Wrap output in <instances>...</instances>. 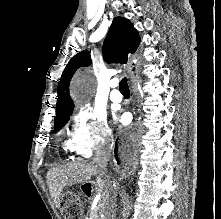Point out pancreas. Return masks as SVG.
<instances>
[{
  "mask_svg": "<svg viewBox=\"0 0 221 219\" xmlns=\"http://www.w3.org/2000/svg\"><path fill=\"white\" fill-rule=\"evenodd\" d=\"M88 219H100L99 214H98V210H91L89 212V218Z\"/></svg>",
  "mask_w": 221,
  "mask_h": 219,
  "instance_id": "pancreas-1",
  "label": "pancreas"
}]
</instances>
